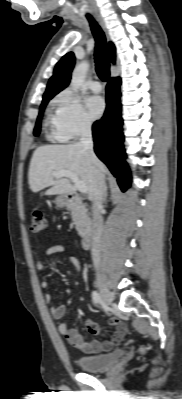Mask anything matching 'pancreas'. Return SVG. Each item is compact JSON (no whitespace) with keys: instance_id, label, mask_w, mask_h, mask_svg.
Masks as SVG:
<instances>
[{"instance_id":"cf45deb5","label":"pancreas","mask_w":182,"mask_h":399,"mask_svg":"<svg viewBox=\"0 0 182 399\" xmlns=\"http://www.w3.org/2000/svg\"><path fill=\"white\" fill-rule=\"evenodd\" d=\"M73 224L81 237H84L90 227V218L87 209L82 203H75L71 210Z\"/></svg>"}]
</instances>
